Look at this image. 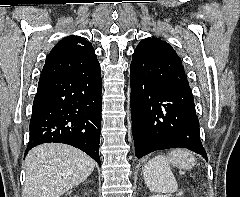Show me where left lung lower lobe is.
<instances>
[{
	"label": "left lung lower lobe",
	"mask_w": 240,
	"mask_h": 197,
	"mask_svg": "<svg viewBox=\"0 0 240 197\" xmlns=\"http://www.w3.org/2000/svg\"><path fill=\"white\" fill-rule=\"evenodd\" d=\"M130 84L137 158L155 150L179 147L207 160L187 78L157 69L142 72L130 67Z\"/></svg>",
	"instance_id": "1"
}]
</instances>
